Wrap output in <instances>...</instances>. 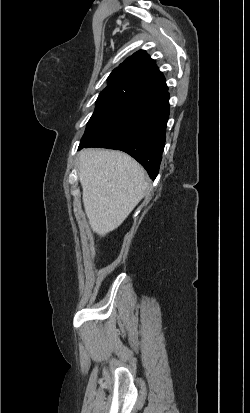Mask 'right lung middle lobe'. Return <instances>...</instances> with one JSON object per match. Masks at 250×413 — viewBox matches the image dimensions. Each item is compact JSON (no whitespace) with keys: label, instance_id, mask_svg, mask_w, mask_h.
<instances>
[{"label":"right lung middle lobe","instance_id":"1","mask_svg":"<svg viewBox=\"0 0 250 413\" xmlns=\"http://www.w3.org/2000/svg\"><path fill=\"white\" fill-rule=\"evenodd\" d=\"M137 97L134 92L104 89L96 101L97 107L79 146L87 145L103 133L120 116L128 103Z\"/></svg>","mask_w":250,"mask_h":413}]
</instances>
